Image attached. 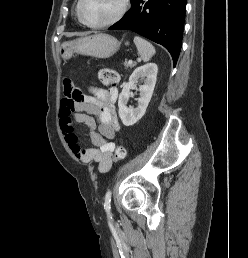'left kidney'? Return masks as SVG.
I'll return each mask as SVG.
<instances>
[{
	"label": "left kidney",
	"mask_w": 248,
	"mask_h": 258,
	"mask_svg": "<svg viewBox=\"0 0 248 258\" xmlns=\"http://www.w3.org/2000/svg\"><path fill=\"white\" fill-rule=\"evenodd\" d=\"M157 72L158 67L155 63H147L136 68L129 77V81L124 85L118 99L119 117L123 125L132 126L145 114L156 84ZM144 77L146 78L145 83L139 88L138 106L128 109L127 103L130 97V90L138 83L140 78Z\"/></svg>",
	"instance_id": "obj_1"
}]
</instances>
